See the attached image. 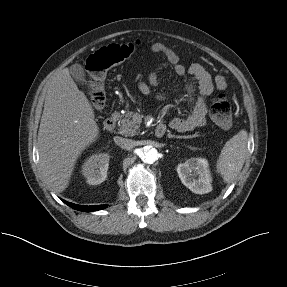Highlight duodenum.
Returning <instances> with one entry per match:
<instances>
[{"mask_svg": "<svg viewBox=\"0 0 287 287\" xmlns=\"http://www.w3.org/2000/svg\"><path fill=\"white\" fill-rule=\"evenodd\" d=\"M116 125V116L115 114L110 115L104 121V128L107 131H112ZM166 132V127L163 124H158L155 128V134L157 137H162Z\"/></svg>", "mask_w": 287, "mask_h": 287, "instance_id": "1", "label": "duodenum"}]
</instances>
